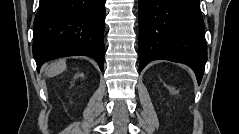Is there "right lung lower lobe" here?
<instances>
[{
    "mask_svg": "<svg viewBox=\"0 0 239 134\" xmlns=\"http://www.w3.org/2000/svg\"><path fill=\"white\" fill-rule=\"evenodd\" d=\"M105 0H40L34 20L33 56L46 61L84 55L104 64Z\"/></svg>",
    "mask_w": 239,
    "mask_h": 134,
    "instance_id": "obj_1",
    "label": "right lung lower lobe"
}]
</instances>
